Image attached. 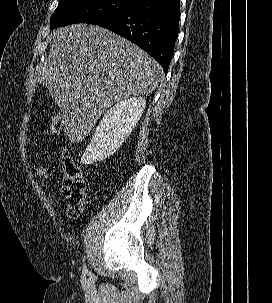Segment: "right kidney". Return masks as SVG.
Listing matches in <instances>:
<instances>
[{"label": "right kidney", "instance_id": "obj_1", "mask_svg": "<svg viewBox=\"0 0 272 303\" xmlns=\"http://www.w3.org/2000/svg\"><path fill=\"white\" fill-rule=\"evenodd\" d=\"M145 106V98L133 97L111 107L97 126L81 163L92 165L113 155L136 127Z\"/></svg>", "mask_w": 272, "mask_h": 303}]
</instances>
